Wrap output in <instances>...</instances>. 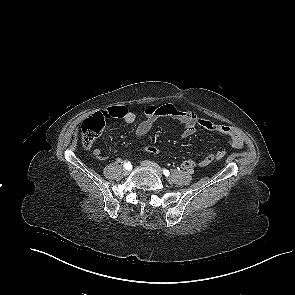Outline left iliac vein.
<instances>
[{
	"label": "left iliac vein",
	"mask_w": 295,
	"mask_h": 295,
	"mask_svg": "<svg viewBox=\"0 0 295 295\" xmlns=\"http://www.w3.org/2000/svg\"><path fill=\"white\" fill-rule=\"evenodd\" d=\"M141 165L154 170L160 177L162 176V171H161L160 167L156 163L145 160V161L141 162Z\"/></svg>",
	"instance_id": "left-iliac-vein-1"
}]
</instances>
